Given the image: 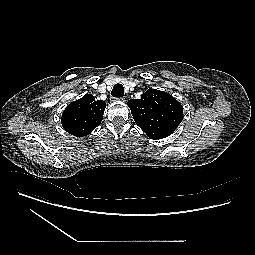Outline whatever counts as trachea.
<instances>
[{"label":"trachea","instance_id":"trachea-1","mask_svg":"<svg viewBox=\"0 0 255 255\" xmlns=\"http://www.w3.org/2000/svg\"><path fill=\"white\" fill-rule=\"evenodd\" d=\"M111 95L115 98H121L124 96V87L122 84L118 83L116 84L111 92Z\"/></svg>","mask_w":255,"mask_h":255}]
</instances>
